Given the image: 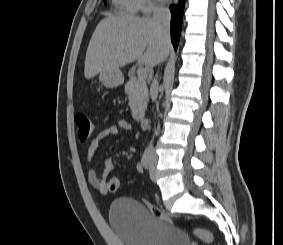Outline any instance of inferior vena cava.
Wrapping results in <instances>:
<instances>
[{"mask_svg": "<svg viewBox=\"0 0 283 245\" xmlns=\"http://www.w3.org/2000/svg\"><path fill=\"white\" fill-rule=\"evenodd\" d=\"M170 18L171 15L168 8L163 6H157L154 8L152 19L156 24H158L161 27L164 39L167 41H170V32H169ZM157 89H158V81L156 77L151 84V98L153 101H156L158 95ZM149 153L151 158L153 159L156 158L153 150L152 142L150 143Z\"/></svg>", "mask_w": 283, "mask_h": 245, "instance_id": "1", "label": "inferior vena cava"}]
</instances>
